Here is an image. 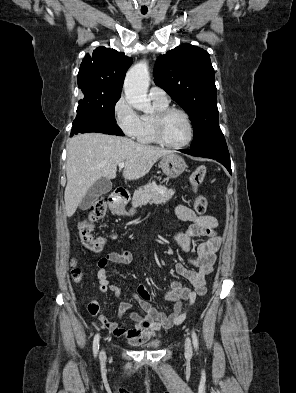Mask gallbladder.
I'll return each mask as SVG.
<instances>
[{
    "label": "gallbladder",
    "instance_id": "gallbladder-1",
    "mask_svg": "<svg viewBox=\"0 0 296 393\" xmlns=\"http://www.w3.org/2000/svg\"><path fill=\"white\" fill-rule=\"evenodd\" d=\"M112 189V182L106 178H100L87 191L82 199L79 207L81 210H87L90 206L103 194L110 192Z\"/></svg>",
    "mask_w": 296,
    "mask_h": 393
}]
</instances>
